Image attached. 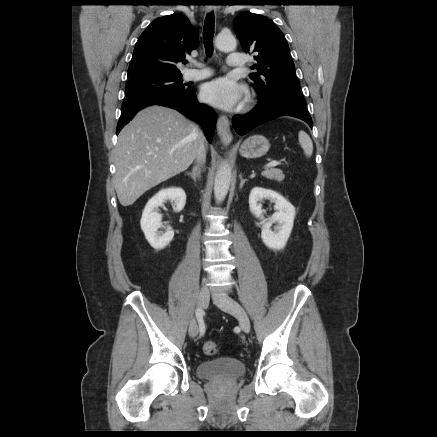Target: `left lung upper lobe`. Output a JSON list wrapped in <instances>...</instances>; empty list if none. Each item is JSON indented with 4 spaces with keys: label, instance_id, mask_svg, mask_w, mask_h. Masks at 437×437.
<instances>
[{
    "label": "left lung upper lobe",
    "instance_id": "1",
    "mask_svg": "<svg viewBox=\"0 0 437 437\" xmlns=\"http://www.w3.org/2000/svg\"><path fill=\"white\" fill-rule=\"evenodd\" d=\"M233 27L243 50L255 54L257 69L249 77L260 103L286 101L304 105L295 76V66L282 31L265 16L239 14Z\"/></svg>",
    "mask_w": 437,
    "mask_h": 437
}]
</instances>
